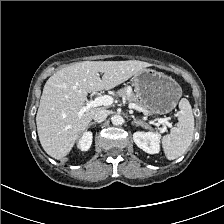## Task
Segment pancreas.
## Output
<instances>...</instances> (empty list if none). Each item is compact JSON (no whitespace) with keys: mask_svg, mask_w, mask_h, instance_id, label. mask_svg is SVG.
<instances>
[{"mask_svg":"<svg viewBox=\"0 0 224 224\" xmlns=\"http://www.w3.org/2000/svg\"><path fill=\"white\" fill-rule=\"evenodd\" d=\"M119 97L126 98L130 103L137 105L143 110L147 111L145 105L138 99V97L132 92L129 87H124L117 91Z\"/></svg>","mask_w":224,"mask_h":224,"instance_id":"cf45deb5","label":"pancreas"}]
</instances>
